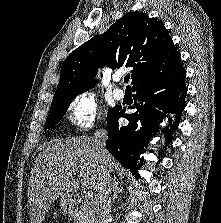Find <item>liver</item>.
Wrapping results in <instances>:
<instances>
[{
	"mask_svg": "<svg viewBox=\"0 0 221 223\" xmlns=\"http://www.w3.org/2000/svg\"><path fill=\"white\" fill-rule=\"evenodd\" d=\"M107 162L113 171L116 162L108 153ZM100 174V159L91 137L60 140L43 148L34 161L29 181L30 223H42L54 200L80 186L98 190Z\"/></svg>",
	"mask_w": 221,
	"mask_h": 223,
	"instance_id": "obj_1",
	"label": "liver"
}]
</instances>
